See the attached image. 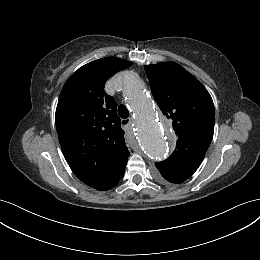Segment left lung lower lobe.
<instances>
[{
    "label": "left lung lower lobe",
    "mask_w": 260,
    "mask_h": 260,
    "mask_svg": "<svg viewBox=\"0 0 260 260\" xmlns=\"http://www.w3.org/2000/svg\"><path fill=\"white\" fill-rule=\"evenodd\" d=\"M159 179L163 182H171V183H175V184H179L184 182L186 179H188L187 177H183V176H175V175H169V174H163L162 176L159 175Z\"/></svg>",
    "instance_id": "0a47b994"
}]
</instances>
